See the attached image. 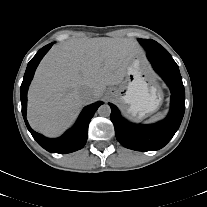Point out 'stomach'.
I'll return each instance as SVG.
<instances>
[{"label":"stomach","instance_id":"obj_1","mask_svg":"<svg viewBox=\"0 0 207 207\" xmlns=\"http://www.w3.org/2000/svg\"><path fill=\"white\" fill-rule=\"evenodd\" d=\"M108 94L125 105L128 114L138 119L155 112L163 100V92L150 77L140 54L130 62L122 83L109 88Z\"/></svg>","mask_w":207,"mask_h":207}]
</instances>
